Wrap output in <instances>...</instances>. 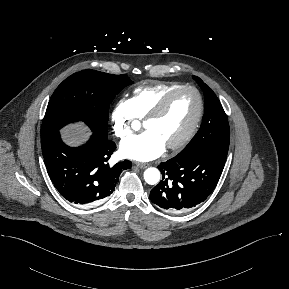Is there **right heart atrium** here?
Instances as JSON below:
<instances>
[{
  "label": "right heart atrium",
  "instance_id": "1",
  "mask_svg": "<svg viewBox=\"0 0 289 289\" xmlns=\"http://www.w3.org/2000/svg\"><path fill=\"white\" fill-rule=\"evenodd\" d=\"M136 118L130 99H120L111 112L112 130L116 137L123 139L133 131Z\"/></svg>",
  "mask_w": 289,
  "mask_h": 289
}]
</instances>
